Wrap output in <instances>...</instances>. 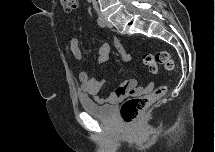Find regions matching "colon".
Returning a JSON list of instances; mask_svg holds the SVG:
<instances>
[{
    "mask_svg": "<svg viewBox=\"0 0 215 152\" xmlns=\"http://www.w3.org/2000/svg\"><path fill=\"white\" fill-rule=\"evenodd\" d=\"M63 9L66 13L73 12L77 7L76 0H63ZM144 65L152 72L158 71V66L166 70H173L174 61L168 51H159L155 55L146 54L143 57ZM167 92L165 85L158 86L152 93L142 97H131L124 100L120 105V116L128 124L134 122L139 114L155 100L162 98Z\"/></svg>",
    "mask_w": 215,
    "mask_h": 152,
    "instance_id": "1",
    "label": "colon"
}]
</instances>
